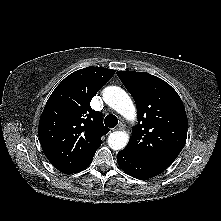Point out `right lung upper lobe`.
Wrapping results in <instances>:
<instances>
[{
	"mask_svg": "<svg viewBox=\"0 0 221 221\" xmlns=\"http://www.w3.org/2000/svg\"><path fill=\"white\" fill-rule=\"evenodd\" d=\"M115 74V70L86 67L67 76L53 91L42 112L38 134L50 163L63 173H75L86 165L109 132L91 99Z\"/></svg>",
	"mask_w": 221,
	"mask_h": 221,
	"instance_id": "obj_1",
	"label": "right lung upper lobe"
}]
</instances>
